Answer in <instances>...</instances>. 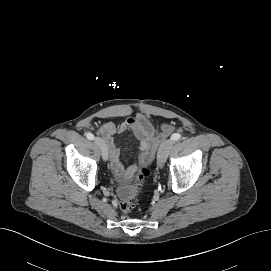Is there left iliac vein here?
Segmentation results:
<instances>
[{"label": "left iliac vein", "mask_w": 271, "mask_h": 271, "mask_svg": "<svg viewBox=\"0 0 271 271\" xmlns=\"http://www.w3.org/2000/svg\"><path fill=\"white\" fill-rule=\"evenodd\" d=\"M172 146H173L172 140H165L164 142L161 143L158 150V154H157V164L160 168L164 166L165 161L167 159V156Z\"/></svg>", "instance_id": "left-iliac-vein-1"}]
</instances>
